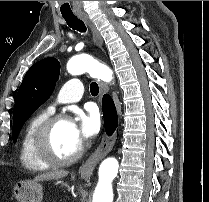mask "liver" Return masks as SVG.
I'll return each instance as SVG.
<instances>
[{
	"label": "liver",
	"instance_id": "liver-1",
	"mask_svg": "<svg viewBox=\"0 0 209 202\" xmlns=\"http://www.w3.org/2000/svg\"><path fill=\"white\" fill-rule=\"evenodd\" d=\"M68 175V171L59 170V171H50L36 176L33 181H47V180H57Z\"/></svg>",
	"mask_w": 209,
	"mask_h": 202
}]
</instances>
